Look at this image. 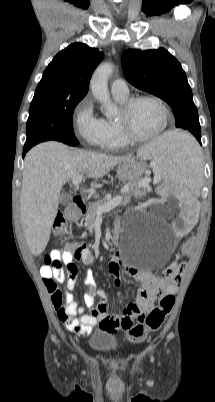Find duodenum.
Here are the masks:
<instances>
[{
  "label": "duodenum",
  "mask_w": 215,
  "mask_h": 402,
  "mask_svg": "<svg viewBox=\"0 0 215 402\" xmlns=\"http://www.w3.org/2000/svg\"><path fill=\"white\" fill-rule=\"evenodd\" d=\"M85 212V204L80 197H74L66 209V215L71 221L79 220Z\"/></svg>",
  "instance_id": "410a0bca"
}]
</instances>
